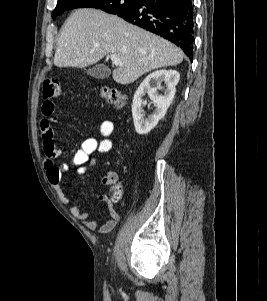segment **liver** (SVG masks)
<instances>
[{"mask_svg": "<svg viewBox=\"0 0 267 301\" xmlns=\"http://www.w3.org/2000/svg\"><path fill=\"white\" fill-rule=\"evenodd\" d=\"M111 54L123 63L113 71L114 81L122 85L149 71L178 65L184 58L178 47L157 35L116 15L82 8L62 28L54 65L84 68Z\"/></svg>", "mask_w": 267, "mask_h": 301, "instance_id": "liver-1", "label": "liver"}]
</instances>
